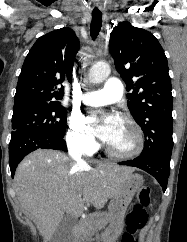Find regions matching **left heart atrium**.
Wrapping results in <instances>:
<instances>
[{
  "instance_id": "39dd6f15",
  "label": "left heart atrium",
  "mask_w": 187,
  "mask_h": 242,
  "mask_svg": "<svg viewBox=\"0 0 187 242\" xmlns=\"http://www.w3.org/2000/svg\"><path fill=\"white\" fill-rule=\"evenodd\" d=\"M93 121L96 120L95 117L92 118ZM118 118L114 115H107L102 119L101 122L95 124L93 132L98 136L102 141L109 142L111 139Z\"/></svg>"
}]
</instances>
